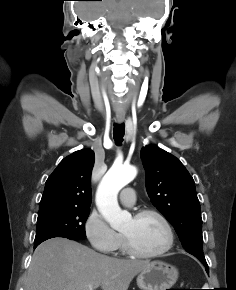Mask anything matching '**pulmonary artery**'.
Masks as SVG:
<instances>
[{
	"instance_id": "1",
	"label": "pulmonary artery",
	"mask_w": 236,
	"mask_h": 290,
	"mask_svg": "<svg viewBox=\"0 0 236 290\" xmlns=\"http://www.w3.org/2000/svg\"><path fill=\"white\" fill-rule=\"evenodd\" d=\"M120 200L124 205L131 206L135 203L136 193L133 188L127 187L122 190Z\"/></svg>"
}]
</instances>
